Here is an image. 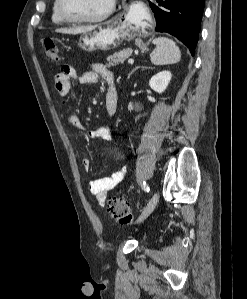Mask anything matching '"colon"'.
Segmentation results:
<instances>
[{
    "mask_svg": "<svg viewBox=\"0 0 247 299\" xmlns=\"http://www.w3.org/2000/svg\"><path fill=\"white\" fill-rule=\"evenodd\" d=\"M44 51L46 59L49 62L54 63L59 61V51L54 40H44ZM108 212L113 220L122 225H128L133 221L131 205L123 198L111 199L108 204Z\"/></svg>",
    "mask_w": 247,
    "mask_h": 299,
    "instance_id": "colon-1",
    "label": "colon"
}]
</instances>
